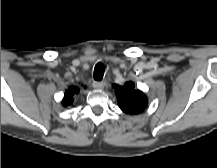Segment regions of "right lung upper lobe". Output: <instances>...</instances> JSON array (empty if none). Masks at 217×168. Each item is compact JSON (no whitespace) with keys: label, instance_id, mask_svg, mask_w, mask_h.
Wrapping results in <instances>:
<instances>
[{"label":"right lung upper lobe","instance_id":"right-lung-upper-lobe-1","mask_svg":"<svg viewBox=\"0 0 217 168\" xmlns=\"http://www.w3.org/2000/svg\"><path fill=\"white\" fill-rule=\"evenodd\" d=\"M78 92H79V89L76 86H71L68 90H66L64 99L62 101L63 105L64 106L70 105L73 102L72 96H74Z\"/></svg>","mask_w":217,"mask_h":168}]
</instances>
